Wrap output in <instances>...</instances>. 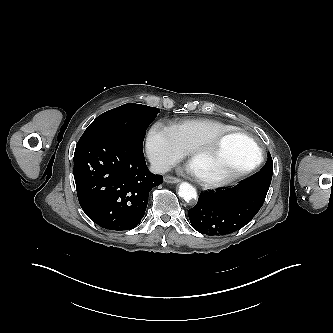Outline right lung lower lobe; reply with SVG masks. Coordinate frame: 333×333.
<instances>
[{"label":"right lung lower lobe","mask_w":333,"mask_h":333,"mask_svg":"<svg viewBox=\"0 0 333 333\" xmlns=\"http://www.w3.org/2000/svg\"><path fill=\"white\" fill-rule=\"evenodd\" d=\"M74 178L86 215L109 230L136 227L151 188L163 176L149 172L142 145L110 136L80 138L74 153Z\"/></svg>","instance_id":"right-lung-lower-lobe-1"}]
</instances>
